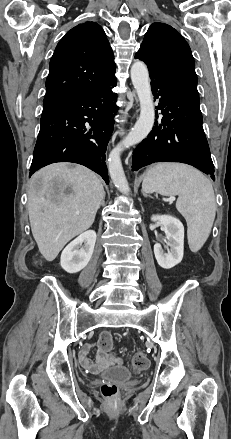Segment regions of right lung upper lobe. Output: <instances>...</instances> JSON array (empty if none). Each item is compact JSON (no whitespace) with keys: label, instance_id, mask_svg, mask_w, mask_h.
I'll return each mask as SVG.
<instances>
[{"label":"right lung upper lobe","instance_id":"1","mask_svg":"<svg viewBox=\"0 0 231 439\" xmlns=\"http://www.w3.org/2000/svg\"><path fill=\"white\" fill-rule=\"evenodd\" d=\"M115 70L102 27L96 22L75 26L60 40L50 60L42 115L108 85Z\"/></svg>","mask_w":231,"mask_h":439}]
</instances>
